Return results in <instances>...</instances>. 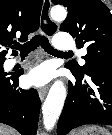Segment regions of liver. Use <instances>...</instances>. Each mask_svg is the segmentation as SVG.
Instances as JSON below:
<instances>
[{
	"mask_svg": "<svg viewBox=\"0 0 112 135\" xmlns=\"http://www.w3.org/2000/svg\"><path fill=\"white\" fill-rule=\"evenodd\" d=\"M0 135H18V133L14 129L0 124Z\"/></svg>",
	"mask_w": 112,
	"mask_h": 135,
	"instance_id": "1",
	"label": "liver"
}]
</instances>
